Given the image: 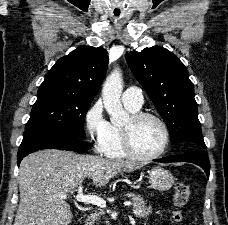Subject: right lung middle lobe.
Masks as SVG:
<instances>
[{
	"label": "right lung middle lobe",
	"instance_id": "right-lung-middle-lobe-1",
	"mask_svg": "<svg viewBox=\"0 0 228 225\" xmlns=\"http://www.w3.org/2000/svg\"><path fill=\"white\" fill-rule=\"evenodd\" d=\"M91 101V97L62 88L40 87L25 130L56 129L83 139L84 119Z\"/></svg>",
	"mask_w": 228,
	"mask_h": 225
}]
</instances>
